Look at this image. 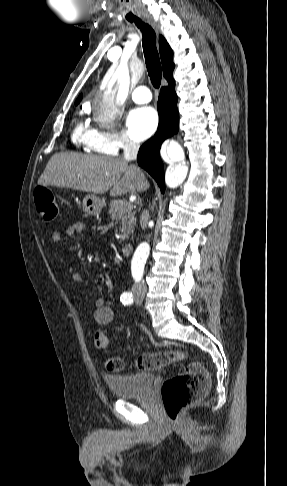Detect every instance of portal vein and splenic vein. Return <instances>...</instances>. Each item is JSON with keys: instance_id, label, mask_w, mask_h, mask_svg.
Masks as SVG:
<instances>
[{"instance_id": "portal-vein-and-splenic-vein-1", "label": "portal vein and splenic vein", "mask_w": 287, "mask_h": 486, "mask_svg": "<svg viewBox=\"0 0 287 486\" xmlns=\"http://www.w3.org/2000/svg\"><path fill=\"white\" fill-rule=\"evenodd\" d=\"M135 198H131L130 200H134Z\"/></svg>"}]
</instances>
